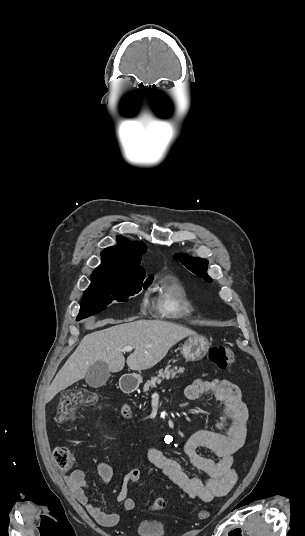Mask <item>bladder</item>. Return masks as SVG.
Instances as JSON below:
<instances>
[{
  "label": "bladder",
  "mask_w": 305,
  "mask_h": 536,
  "mask_svg": "<svg viewBox=\"0 0 305 536\" xmlns=\"http://www.w3.org/2000/svg\"><path fill=\"white\" fill-rule=\"evenodd\" d=\"M138 536H166L167 526L162 521L140 519L135 525Z\"/></svg>",
  "instance_id": "bladder-1"
}]
</instances>
